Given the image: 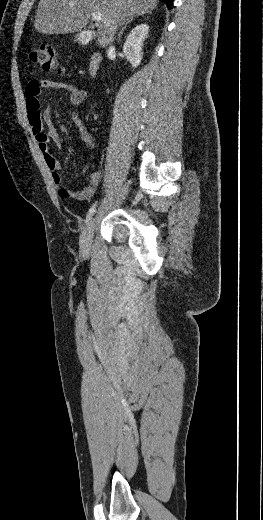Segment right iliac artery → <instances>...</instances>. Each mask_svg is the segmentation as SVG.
<instances>
[{
    "mask_svg": "<svg viewBox=\"0 0 263 520\" xmlns=\"http://www.w3.org/2000/svg\"><path fill=\"white\" fill-rule=\"evenodd\" d=\"M96 206H97V202H95L91 208L89 209L88 213H87V216H86V224L89 223L90 219L92 218L94 212H95V209H96Z\"/></svg>",
    "mask_w": 263,
    "mask_h": 520,
    "instance_id": "1",
    "label": "right iliac artery"
}]
</instances>
